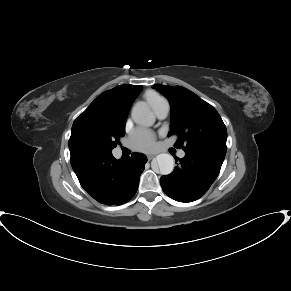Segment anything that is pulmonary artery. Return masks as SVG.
<instances>
[{
    "label": "pulmonary artery",
    "mask_w": 291,
    "mask_h": 291,
    "mask_svg": "<svg viewBox=\"0 0 291 291\" xmlns=\"http://www.w3.org/2000/svg\"><path fill=\"white\" fill-rule=\"evenodd\" d=\"M168 112H169V105H168V103L166 102V100H162V101L160 102V104L156 107V109H155V113H156V115H157L158 118H160V119H164V118L167 117ZM178 155H179L180 157H183V156H184V152H183V151H180V152L178 153Z\"/></svg>",
    "instance_id": "obj_1"
}]
</instances>
